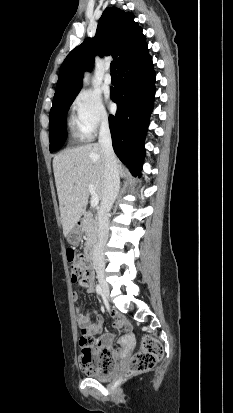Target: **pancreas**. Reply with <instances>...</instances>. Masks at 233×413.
I'll return each mask as SVG.
<instances>
[{"label":"pancreas","instance_id":"pancreas-1","mask_svg":"<svg viewBox=\"0 0 233 413\" xmlns=\"http://www.w3.org/2000/svg\"><path fill=\"white\" fill-rule=\"evenodd\" d=\"M81 228L87 237L88 243H94L97 240L98 222L96 217H93L92 214H88L85 218H83Z\"/></svg>","mask_w":233,"mask_h":413}]
</instances>
